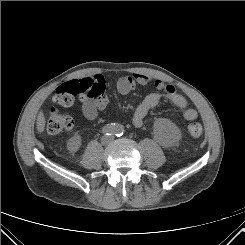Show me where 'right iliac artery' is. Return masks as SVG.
I'll return each mask as SVG.
<instances>
[{
    "label": "right iliac artery",
    "mask_w": 245,
    "mask_h": 245,
    "mask_svg": "<svg viewBox=\"0 0 245 245\" xmlns=\"http://www.w3.org/2000/svg\"><path fill=\"white\" fill-rule=\"evenodd\" d=\"M115 124H107L102 128V133L109 136L115 134Z\"/></svg>",
    "instance_id": "82829eb1"
}]
</instances>
